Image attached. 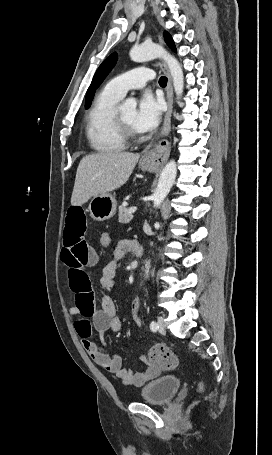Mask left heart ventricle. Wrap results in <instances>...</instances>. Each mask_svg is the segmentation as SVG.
<instances>
[{
    "label": "left heart ventricle",
    "instance_id": "1",
    "mask_svg": "<svg viewBox=\"0 0 272 455\" xmlns=\"http://www.w3.org/2000/svg\"><path fill=\"white\" fill-rule=\"evenodd\" d=\"M120 114L127 125L134 129L136 111L134 109L122 110Z\"/></svg>",
    "mask_w": 272,
    "mask_h": 455
}]
</instances>
